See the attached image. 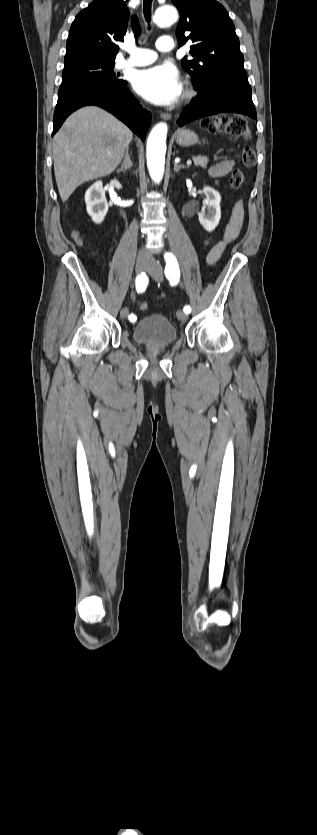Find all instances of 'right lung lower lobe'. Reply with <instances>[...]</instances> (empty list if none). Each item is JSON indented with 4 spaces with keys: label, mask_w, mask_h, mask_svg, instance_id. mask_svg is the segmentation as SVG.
<instances>
[{
    "label": "right lung lower lobe",
    "mask_w": 317,
    "mask_h": 835,
    "mask_svg": "<svg viewBox=\"0 0 317 835\" xmlns=\"http://www.w3.org/2000/svg\"><path fill=\"white\" fill-rule=\"evenodd\" d=\"M126 84H97L59 95L54 112L52 136L73 111L86 105H97L115 115L144 140L151 115L141 107Z\"/></svg>",
    "instance_id": "right-lung-lower-lobe-1"
}]
</instances>
